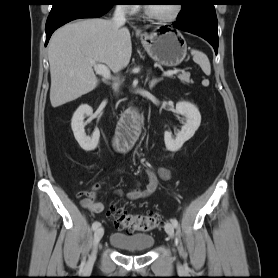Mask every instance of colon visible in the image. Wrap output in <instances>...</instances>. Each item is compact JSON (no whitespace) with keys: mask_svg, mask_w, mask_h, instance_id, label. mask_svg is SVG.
<instances>
[{"mask_svg":"<svg viewBox=\"0 0 278 278\" xmlns=\"http://www.w3.org/2000/svg\"><path fill=\"white\" fill-rule=\"evenodd\" d=\"M108 215L114 219L117 228L128 231H150L161 224L160 216L153 213L133 214L112 207Z\"/></svg>","mask_w":278,"mask_h":278,"instance_id":"colon-1","label":"colon"}]
</instances>
